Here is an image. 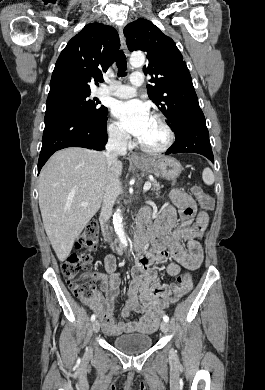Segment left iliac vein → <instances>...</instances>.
Wrapping results in <instances>:
<instances>
[{"label":"left iliac vein","instance_id":"left-iliac-vein-1","mask_svg":"<svg viewBox=\"0 0 265 390\" xmlns=\"http://www.w3.org/2000/svg\"><path fill=\"white\" fill-rule=\"evenodd\" d=\"M160 329L163 333H168L169 332V324L167 322H162L160 325Z\"/></svg>","mask_w":265,"mask_h":390}]
</instances>
